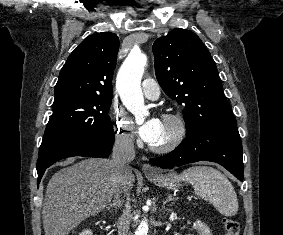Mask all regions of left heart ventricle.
Listing matches in <instances>:
<instances>
[{"instance_id":"obj_1","label":"left heart ventricle","mask_w":283,"mask_h":235,"mask_svg":"<svg viewBox=\"0 0 283 235\" xmlns=\"http://www.w3.org/2000/svg\"><path fill=\"white\" fill-rule=\"evenodd\" d=\"M173 132H174L173 125L162 121L161 132H160L158 138L156 139V141L152 144L153 145H162V144L166 143L171 138Z\"/></svg>"}]
</instances>
